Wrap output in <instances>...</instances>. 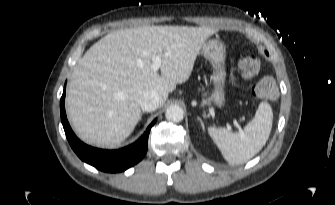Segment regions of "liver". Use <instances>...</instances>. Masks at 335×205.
<instances>
[{
    "label": "liver",
    "mask_w": 335,
    "mask_h": 205,
    "mask_svg": "<svg viewBox=\"0 0 335 205\" xmlns=\"http://www.w3.org/2000/svg\"><path fill=\"white\" fill-rule=\"evenodd\" d=\"M208 27L140 26L107 34L78 61L67 89L66 109L81 140L102 148L121 144L141 119L142 94L154 90L163 105L186 82ZM161 55V76L153 58Z\"/></svg>",
    "instance_id": "6515ba94"
}]
</instances>
